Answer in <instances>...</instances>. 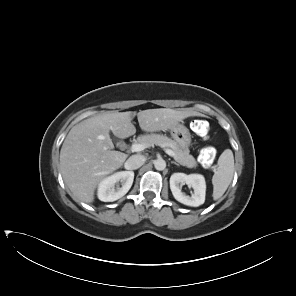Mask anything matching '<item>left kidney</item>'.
Here are the masks:
<instances>
[{
  "mask_svg": "<svg viewBox=\"0 0 296 296\" xmlns=\"http://www.w3.org/2000/svg\"><path fill=\"white\" fill-rule=\"evenodd\" d=\"M184 184L193 188L194 193L191 196L181 191ZM170 189L174 198L184 205L198 207L205 202L206 182L203 175L173 173L170 177Z\"/></svg>",
  "mask_w": 296,
  "mask_h": 296,
  "instance_id": "obj_1",
  "label": "left kidney"
}]
</instances>
